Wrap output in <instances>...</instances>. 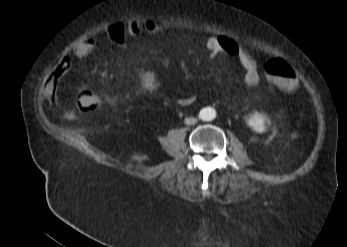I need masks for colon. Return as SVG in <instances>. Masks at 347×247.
<instances>
[{"instance_id": "1", "label": "colon", "mask_w": 347, "mask_h": 247, "mask_svg": "<svg viewBox=\"0 0 347 247\" xmlns=\"http://www.w3.org/2000/svg\"><path fill=\"white\" fill-rule=\"evenodd\" d=\"M266 73L272 85L281 92L291 93L297 88V79L291 66L282 60L269 62ZM76 107L83 112L97 109L100 106V99L91 92H80L75 99Z\"/></svg>"}]
</instances>
